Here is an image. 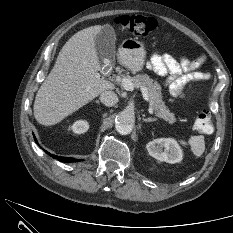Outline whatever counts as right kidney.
Wrapping results in <instances>:
<instances>
[{"label": "right kidney", "mask_w": 233, "mask_h": 233, "mask_svg": "<svg viewBox=\"0 0 233 233\" xmlns=\"http://www.w3.org/2000/svg\"><path fill=\"white\" fill-rule=\"evenodd\" d=\"M88 128H89V124L86 120H77L72 125L69 126V129L77 134L86 132Z\"/></svg>", "instance_id": "obj_1"}]
</instances>
